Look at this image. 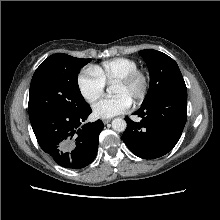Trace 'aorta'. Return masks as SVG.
I'll use <instances>...</instances> for the list:
<instances>
[{
  "label": "aorta",
  "instance_id": "762f6f07",
  "mask_svg": "<svg viewBox=\"0 0 220 220\" xmlns=\"http://www.w3.org/2000/svg\"><path fill=\"white\" fill-rule=\"evenodd\" d=\"M107 92L110 94L111 93V89L107 88ZM127 127L126 121L122 118H115L112 121V128L117 131V132H123L125 131Z\"/></svg>",
  "mask_w": 220,
  "mask_h": 220
}]
</instances>
